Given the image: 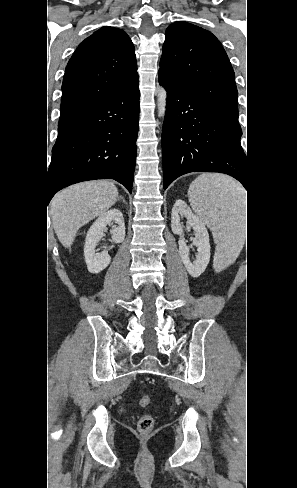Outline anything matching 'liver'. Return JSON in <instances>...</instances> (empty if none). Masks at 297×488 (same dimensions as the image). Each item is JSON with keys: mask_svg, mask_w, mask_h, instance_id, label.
Masks as SVG:
<instances>
[{"mask_svg": "<svg viewBox=\"0 0 297 488\" xmlns=\"http://www.w3.org/2000/svg\"><path fill=\"white\" fill-rule=\"evenodd\" d=\"M118 199L116 186L105 180L74 184L56 194L49 214L60 243L70 248L78 230L105 213Z\"/></svg>", "mask_w": 297, "mask_h": 488, "instance_id": "6515ba94", "label": "liver"}]
</instances>
